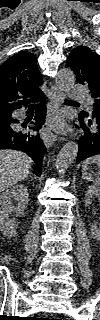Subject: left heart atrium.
<instances>
[{
  "label": "left heart atrium",
  "instance_id": "39dd6f15",
  "mask_svg": "<svg viewBox=\"0 0 100 320\" xmlns=\"http://www.w3.org/2000/svg\"><path fill=\"white\" fill-rule=\"evenodd\" d=\"M51 127L55 130H64L66 128V125L63 116H54L51 121Z\"/></svg>",
  "mask_w": 100,
  "mask_h": 320
}]
</instances>
